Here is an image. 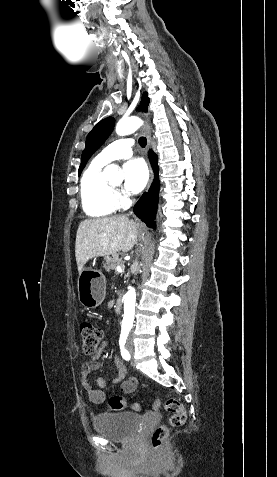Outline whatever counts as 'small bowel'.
I'll return each mask as SVG.
<instances>
[{
  "label": "small bowel",
  "instance_id": "1",
  "mask_svg": "<svg viewBox=\"0 0 277 477\" xmlns=\"http://www.w3.org/2000/svg\"><path fill=\"white\" fill-rule=\"evenodd\" d=\"M107 347V343L104 342L100 349L91 356V358L82 365L80 370V379L83 385L84 390L86 391L89 399L96 404H101L105 402L106 395L103 389L106 387V381L102 377L96 379V385L98 388H95L89 381V376L92 371L98 370L100 368L99 358L102 351ZM112 360L117 369V377L113 380L114 384L121 383L120 390L124 394H129L133 392L137 386V379L133 376L127 377V366L122 358L118 354L112 356Z\"/></svg>",
  "mask_w": 277,
  "mask_h": 477
}]
</instances>
